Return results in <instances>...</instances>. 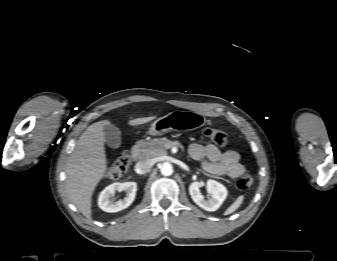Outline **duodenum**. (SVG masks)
<instances>
[{"instance_id":"duodenum-1","label":"duodenum","mask_w":337,"mask_h":261,"mask_svg":"<svg viewBox=\"0 0 337 261\" xmlns=\"http://www.w3.org/2000/svg\"><path fill=\"white\" fill-rule=\"evenodd\" d=\"M131 156L133 159H138L140 156V144L139 142L135 143L131 150Z\"/></svg>"}]
</instances>
